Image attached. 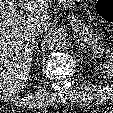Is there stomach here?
I'll list each match as a JSON object with an SVG mask.
<instances>
[{
	"instance_id": "obj_1",
	"label": "stomach",
	"mask_w": 113,
	"mask_h": 113,
	"mask_svg": "<svg viewBox=\"0 0 113 113\" xmlns=\"http://www.w3.org/2000/svg\"><path fill=\"white\" fill-rule=\"evenodd\" d=\"M59 1L63 7L71 9L75 7L77 2H79L80 0H59Z\"/></svg>"
}]
</instances>
